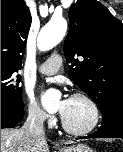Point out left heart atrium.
Segmentation results:
<instances>
[{
    "label": "left heart atrium",
    "instance_id": "39dd6f15",
    "mask_svg": "<svg viewBox=\"0 0 123 152\" xmlns=\"http://www.w3.org/2000/svg\"><path fill=\"white\" fill-rule=\"evenodd\" d=\"M69 99L70 98H68V97H64L62 99V101L60 102L59 112H60V115H61L62 118L64 116L65 108H66V106L69 102Z\"/></svg>",
    "mask_w": 123,
    "mask_h": 152
}]
</instances>
